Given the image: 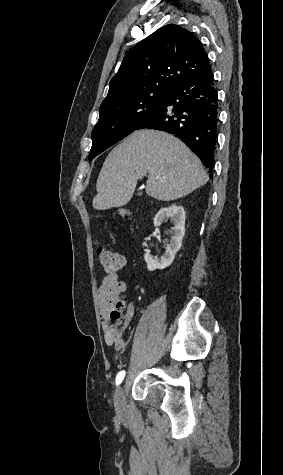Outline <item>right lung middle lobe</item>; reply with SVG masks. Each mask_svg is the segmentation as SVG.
Returning a JSON list of instances; mask_svg holds the SVG:
<instances>
[{"label": "right lung middle lobe", "instance_id": "obj_1", "mask_svg": "<svg viewBox=\"0 0 283 475\" xmlns=\"http://www.w3.org/2000/svg\"><path fill=\"white\" fill-rule=\"evenodd\" d=\"M167 93H147L100 106V118L92 131L89 160L134 132L161 105Z\"/></svg>", "mask_w": 283, "mask_h": 475}]
</instances>
